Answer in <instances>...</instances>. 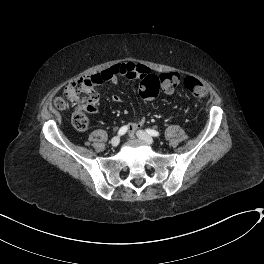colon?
I'll return each instance as SVG.
<instances>
[{
	"label": "colon",
	"instance_id": "5ec220e1",
	"mask_svg": "<svg viewBox=\"0 0 264 264\" xmlns=\"http://www.w3.org/2000/svg\"><path fill=\"white\" fill-rule=\"evenodd\" d=\"M117 74H125L124 66H115ZM180 77L176 72L162 73L159 76L150 75L139 86V94L144 99L156 97L162 89L166 92L173 91L179 84ZM186 88L197 99H203L207 95L206 87L195 77L187 76L184 79ZM98 100V92L88 79L78 78L69 82L63 92V96L54 99L57 109H66L70 105L75 107L72 117L74 126L79 130L89 127V116L95 110Z\"/></svg>",
	"mask_w": 264,
	"mask_h": 264
}]
</instances>
